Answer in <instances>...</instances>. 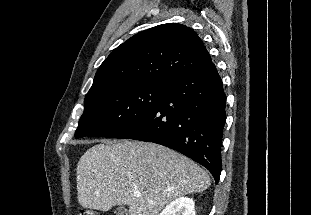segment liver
Returning <instances> with one entry per match:
<instances>
[{"label": "liver", "instance_id": "liver-1", "mask_svg": "<svg viewBox=\"0 0 311 215\" xmlns=\"http://www.w3.org/2000/svg\"><path fill=\"white\" fill-rule=\"evenodd\" d=\"M210 184L209 174L193 160L148 142L97 144L77 164L78 202L100 211L127 205L129 215H158L172 200Z\"/></svg>", "mask_w": 311, "mask_h": 215}]
</instances>
